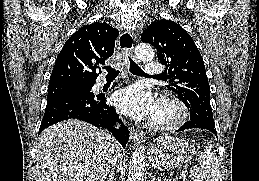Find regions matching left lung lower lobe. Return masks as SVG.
I'll list each match as a JSON object with an SVG mask.
<instances>
[{"label": "left lung lower lobe", "instance_id": "obj_1", "mask_svg": "<svg viewBox=\"0 0 259 181\" xmlns=\"http://www.w3.org/2000/svg\"><path fill=\"white\" fill-rule=\"evenodd\" d=\"M191 128L207 129L217 136L215 124L213 122H209L206 120H196V119H191L183 126H181L176 132L183 131L185 129H191ZM155 138H157V136H155Z\"/></svg>", "mask_w": 259, "mask_h": 181}]
</instances>
